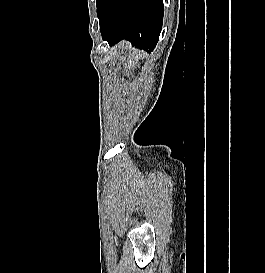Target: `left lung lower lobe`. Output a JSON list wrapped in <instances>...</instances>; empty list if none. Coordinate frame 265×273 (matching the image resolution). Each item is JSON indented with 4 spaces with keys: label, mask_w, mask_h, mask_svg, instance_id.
<instances>
[{
    "label": "left lung lower lobe",
    "mask_w": 265,
    "mask_h": 273,
    "mask_svg": "<svg viewBox=\"0 0 265 273\" xmlns=\"http://www.w3.org/2000/svg\"><path fill=\"white\" fill-rule=\"evenodd\" d=\"M105 10L100 25L102 38L109 45L126 39L132 46L151 52L162 29L163 0H96Z\"/></svg>",
    "instance_id": "1"
}]
</instances>
